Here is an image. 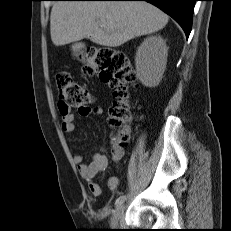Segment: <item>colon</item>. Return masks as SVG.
Segmentation results:
<instances>
[{
    "mask_svg": "<svg viewBox=\"0 0 231 231\" xmlns=\"http://www.w3.org/2000/svg\"><path fill=\"white\" fill-rule=\"evenodd\" d=\"M82 72L86 76L98 74L113 90L115 101L110 108V124L121 126L127 122L131 118L127 100L129 87L136 82V75L127 55L113 47H90L85 53ZM55 79L63 114H68L73 108L85 107L92 101L88 90L75 82L69 73L58 72ZM128 139L127 134H122L119 141L125 144Z\"/></svg>",
    "mask_w": 231,
    "mask_h": 231,
    "instance_id": "1",
    "label": "colon"
}]
</instances>
